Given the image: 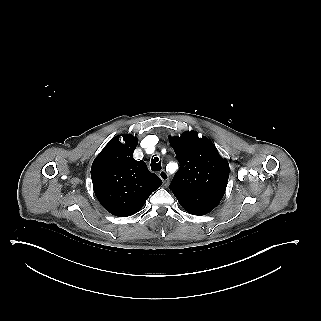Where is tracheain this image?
<instances>
[{
    "instance_id": "3493384b",
    "label": "trachea",
    "mask_w": 321,
    "mask_h": 321,
    "mask_svg": "<svg viewBox=\"0 0 321 321\" xmlns=\"http://www.w3.org/2000/svg\"><path fill=\"white\" fill-rule=\"evenodd\" d=\"M150 166H151L152 171H154V172L161 171V168H162V164L159 161V158L155 157V156L152 157Z\"/></svg>"
}]
</instances>
